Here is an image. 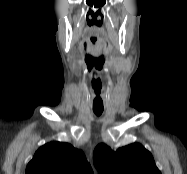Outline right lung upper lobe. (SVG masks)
<instances>
[{
  "label": "right lung upper lobe",
  "instance_id": "1",
  "mask_svg": "<svg viewBox=\"0 0 187 174\" xmlns=\"http://www.w3.org/2000/svg\"><path fill=\"white\" fill-rule=\"evenodd\" d=\"M25 174H93L84 153L72 145L51 142L40 147Z\"/></svg>",
  "mask_w": 187,
  "mask_h": 174
}]
</instances>
